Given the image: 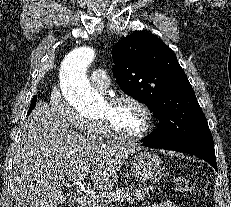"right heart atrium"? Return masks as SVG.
I'll return each instance as SVG.
<instances>
[{
    "label": "right heart atrium",
    "instance_id": "d8ad5b80",
    "mask_svg": "<svg viewBox=\"0 0 231 207\" xmlns=\"http://www.w3.org/2000/svg\"><path fill=\"white\" fill-rule=\"evenodd\" d=\"M50 105L57 117L70 127L88 133L89 121L77 112L63 97L62 93L55 89L50 96Z\"/></svg>",
    "mask_w": 231,
    "mask_h": 207
}]
</instances>
